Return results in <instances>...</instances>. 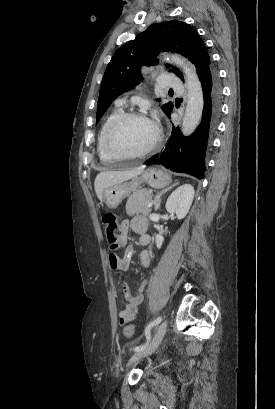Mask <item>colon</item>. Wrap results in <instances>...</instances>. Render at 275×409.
<instances>
[{
  "label": "colon",
  "mask_w": 275,
  "mask_h": 409,
  "mask_svg": "<svg viewBox=\"0 0 275 409\" xmlns=\"http://www.w3.org/2000/svg\"><path fill=\"white\" fill-rule=\"evenodd\" d=\"M102 223L106 233L107 242L109 248L115 249L116 254L119 253V248L121 244V229L119 228L118 219L115 213L108 212L103 215ZM135 332V326L133 324H126L123 328L124 336L127 339L133 337Z\"/></svg>",
  "instance_id": "1"
}]
</instances>
